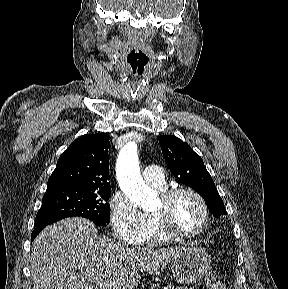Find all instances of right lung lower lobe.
I'll list each match as a JSON object with an SVG mask.
<instances>
[{"label": "right lung lower lobe", "mask_w": 288, "mask_h": 289, "mask_svg": "<svg viewBox=\"0 0 288 289\" xmlns=\"http://www.w3.org/2000/svg\"><path fill=\"white\" fill-rule=\"evenodd\" d=\"M45 226L42 227H37L34 228V231L31 234V241H33L35 239V237L39 234V232L44 228Z\"/></svg>", "instance_id": "1"}]
</instances>
